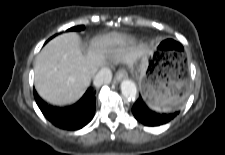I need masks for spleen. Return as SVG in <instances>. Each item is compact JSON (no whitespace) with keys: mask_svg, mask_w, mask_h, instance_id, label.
<instances>
[{"mask_svg":"<svg viewBox=\"0 0 225 155\" xmlns=\"http://www.w3.org/2000/svg\"><path fill=\"white\" fill-rule=\"evenodd\" d=\"M150 107H151L153 110L158 111V112H170V111L172 110V108H170V107H163V108H161V107H158V106H152V105H150Z\"/></svg>","mask_w":225,"mask_h":155,"instance_id":"1","label":"spleen"}]
</instances>
